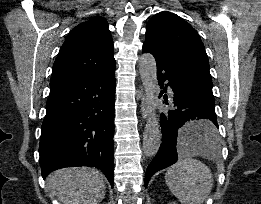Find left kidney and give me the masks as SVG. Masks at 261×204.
Instances as JSON below:
<instances>
[{
    "label": "left kidney",
    "mask_w": 261,
    "mask_h": 204,
    "mask_svg": "<svg viewBox=\"0 0 261 204\" xmlns=\"http://www.w3.org/2000/svg\"><path fill=\"white\" fill-rule=\"evenodd\" d=\"M170 204H177V203H175V202H172V203H170Z\"/></svg>",
    "instance_id": "5707ae66"
}]
</instances>
